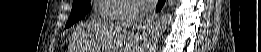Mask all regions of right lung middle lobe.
Instances as JSON below:
<instances>
[{"mask_svg":"<svg viewBox=\"0 0 261 52\" xmlns=\"http://www.w3.org/2000/svg\"><path fill=\"white\" fill-rule=\"evenodd\" d=\"M91 9L90 0H75L72 4L71 15L65 28L72 26L75 22L84 17Z\"/></svg>","mask_w":261,"mask_h":52,"instance_id":"right-lung-middle-lobe-1","label":"right lung middle lobe"}]
</instances>
